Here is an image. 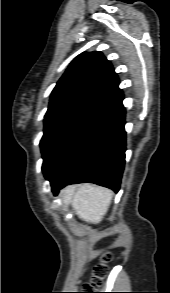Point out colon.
Returning a JSON list of instances; mask_svg holds the SVG:
<instances>
[{
  "label": "colon",
  "mask_w": 170,
  "mask_h": 293,
  "mask_svg": "<svg viewBox=\"0 0 170 293\" xmlns=\"http://www.w3.org/2000/svg\"><path fill=\"white\" fill-rule=\"evenodd\" d=\"M111 259V254H106L98 263L93 267L92 278L89 283L83 284L77 293H94L93 291L99 287L107 274L108 262Z\"/></svg>",
  "instance_id": "5ec220e1"
}]
</instances>
